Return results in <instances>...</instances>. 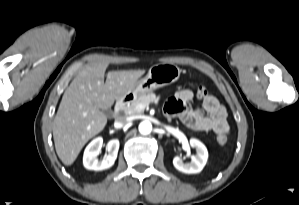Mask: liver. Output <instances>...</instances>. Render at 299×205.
I'll return each mask as SVG.
<instances>
[{
  "label": "liver",
  "instance_id": "1",
  "mask_svg": "<svg viewBox=\"0 0 299 205\" xmlns=\"http://www.w3.org/2000/svg\"><path fill=\"white\" fill-rule=\"evenodd\" d=\"M107 64L87 66L65 90L53 122V138L64 165L73 164L84 145L107 124L101 111L122 99L145 70L109 71Z\"/></svg>",
  "mask_w": 299,
  "mask_h": 205
}]
</instances>
